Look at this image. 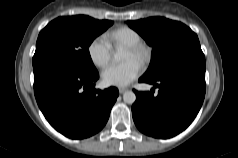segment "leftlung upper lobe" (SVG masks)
<instances>
[{"label":"left lung upper lobe","instance_id":"left-lung-upper-lobe-1","mask_svg":"<svg viewBox=\"0 0 238 158\" xmlns=\"http://www.w3.org/2000/svg\"><path fill=\"white\" fill-rule=\"evenodd\" d=\"M127 23L153 47L150 66L142 78L152 80L179 63L205 59L197 35L181 22L151 17Z\"/></svg>","mask_w":238,"mask_h":158}]
</instances>
